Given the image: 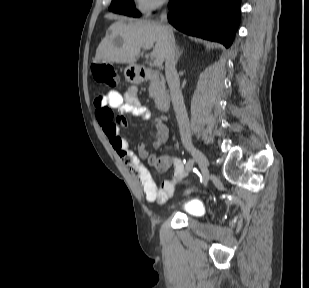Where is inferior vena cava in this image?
Wrapping results in <instances>:
<instances>
[{"mask_svg": "<svg viewBox=\"0 0 309 288\" xmlns=\"http://www.w3.org/2000/svg\"><path fill=\"white\" fill-rule=\"evenodd\" d=\"M167 14L166 10L161 14V24L166 34L167 49L165 57V74L169 85L171 100L176 114L181 140L183 144H188L191 141L189 120L184 104L183 95L180 89V80L176 71L175 59V39L172 28L166 24Z\"/></svg>", "mask_w": 309, "mask_h": 288, "instance_id": "602c4592", "label": "inferior vena cava"}]
</instances>
